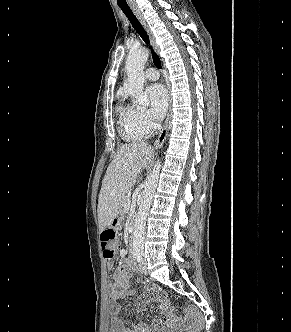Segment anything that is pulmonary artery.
Here are the masks:
<instances>
[{
  "instance_id": "1",
  "label": "pulmonary artery",
  "mask_w": 291,
  "mask_h": 332,
  "mask_svg": "<svg viewBox=\"0 0 291 332\" xmlns=\"http://www.w3.org/2000/svg\"><path fill=\"white\" fill-rule=\"evenodd\" d=\"M144 75H145V78L150 80V81H155L159 78L158 71L155 68H152V67L147 68Z\"/></svg>"
}]
</instances>
